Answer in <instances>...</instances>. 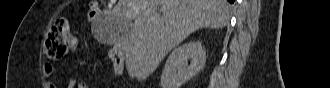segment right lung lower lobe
<instances>
[{
  "mask_svg": "<svg viewBox=\"0 0 330 88\" xmlns=\"http://www.w3.org/2000/svg\"><path fill=\"white\" fill-rule=\"evenodd\" d=\"M234 1H235V0H228V2H230V3H234Z\"/></svg>",
  "mask_w": 330,
  "mask_h": 88,
  "instance_id": "obj_1",
  "label": "right lung lower lobe"
}]
</instances>
